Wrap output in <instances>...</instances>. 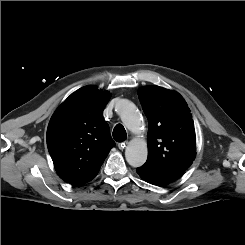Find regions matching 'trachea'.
I'll use <instances>...</instances> for the list:
<instances>
[{
	"label": "trachea",
	"mask_w": 245,
	"mask_h": 245,
	"mask_svg": "<svg viewBox=\"0 0 245 245\" xmlns=\"http://www.w3.org/2000/svg\"><path fill=\"white\" fill-rule=\"evenodd\" d=\"M113 138L117 142H123L127 138L126 130L121 124H117L113 130Z\"/></svg>",
	"instance_id": "trachea-1"
}]
</instances>
